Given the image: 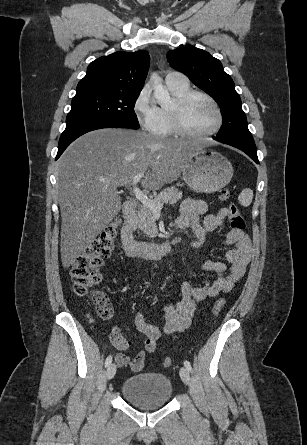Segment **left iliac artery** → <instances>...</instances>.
Masks as SVG:
<instances>
[{
    "label": "left iliac artery",
    "instance_id": "left-iliac-artery-1",
    "mask_svg": "<svg viewBox=\"0 0 307 445\" xmlns=\"http://www.w3.org/2000/svg\"><path fill=\"white\" fill-rule=\"evenodd\" d=\"M184 365L188 371H192V366L189 361L185 360Z\"/></svg>",
    "mask_w": 307,
    "mask_h": 445
}]
</instances>
